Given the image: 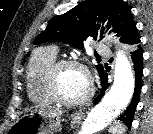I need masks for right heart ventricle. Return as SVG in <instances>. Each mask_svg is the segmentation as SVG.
<instances>
[{"instance_id": "1", "label": "right heart ventricle", "mask_w": 153, "mask_h": 134, "mask_svg": "<svg viewBox=\"0 0 153 134\" xmlns=\"http://www.w3.org/2000/svg\"><path fill=\"white\" fill-rule=\"evenodd\" d=\"M56 60L57 54L53 49L39 48L28 61L25 78L27 93L29 99L37 105L47 106L55 102L47 91L45 74Z\"/></svg>"}]
</instances>
